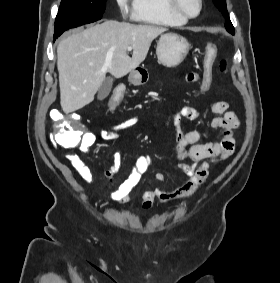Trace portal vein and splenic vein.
I'll return each instance as SVG.
<instances>
[{"label":"portal vein and splenic vein","mask_w":280,"mask_h":283,"mask_svg":"<svg viewBox=\"0 0 280 283\" xmlns=\"http://www.w3.org/2000/svg\"><path fill=\"white\" fill-rule=\"evenodd\" d=\"M132 49H133V48H132L131 46H128V47H127V50H128V51H131Z\"/></svg>","instance_id":"obj_1"}]
</instances>
